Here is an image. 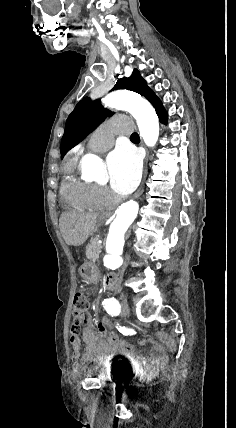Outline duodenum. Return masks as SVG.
Here are the masks:
<instances>
[{
	"label": "duodenum",
	"mask_w": 236,
	"mask_h": 428,
	"mask_svg": "<svg viewBox=\"0 0 236 428\" xmlns=\"http://www.w3.org/2000/svg\"><path fill=\"white\" fill-rule=\"evenodd\" d=\"M107 288H113L117 282V275L115 273L107 274L105 278Z\"/></svg>",
	"instance_id": "1"
}]
</instances>
